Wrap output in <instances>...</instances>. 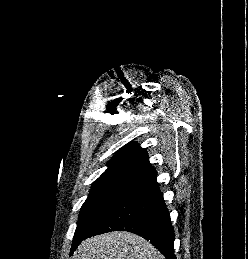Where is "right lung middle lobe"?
Masks as SVG:
<instances>
[{
  "label": "right lung middle lobe",
  "mask_w": 248,
  "mask_h": 259,
  "mask_svg": "<svg viewBox=\"0 0 248 259\" xmlns=\"http://www.w3.org/2000/svg\"><path fill=\"white\" fill-rule=\"evenodd\" d=\"M131 186L125 183H106L92 186L90 195L82 205L72 246L95 227Z\"/></svg>",
  "instance_id": "dd1d6c3e"
}]
</instances>
